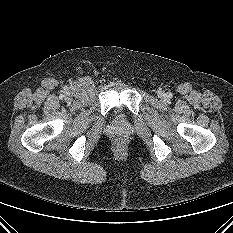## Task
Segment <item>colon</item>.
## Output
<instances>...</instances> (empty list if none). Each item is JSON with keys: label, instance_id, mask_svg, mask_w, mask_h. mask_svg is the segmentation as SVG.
<instances>
[{"label": "colon", "instance_id": "1", "mask_svg": "<svg viewBox=\"0 0 233 233\" xmlns=\"http://www.w3.org/2000/svg\"><path fill=\"white\" fill-rule=\"evenodd\" d=\"M122 143H123V142H122L121 140H120V141H118V145H122Z\"/></svg>", "mask_w": 233, "mask_h": 233}]
</instances>
